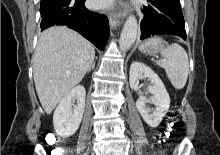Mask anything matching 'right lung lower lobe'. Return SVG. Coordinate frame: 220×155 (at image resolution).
<instances>
[{
  "instance_id": "1",
  "label": "right lung lower lobe",
  "mask_w": 220,
  "mask_h": 155,
  "mask_svg": "<svg viewBox=\"0 0 220 155\" xmlns=\"http://www.w3.org/2000/svg\"><path fill=\"white\" fill-rule=\"evenodd\" d=\"M84 3L85 0H51L40 5V27L44 30L54 25H65L104 50L110 33L108 19L86 9Z\"/></svg>"
}]
</instances>
